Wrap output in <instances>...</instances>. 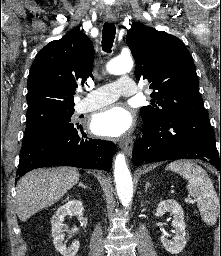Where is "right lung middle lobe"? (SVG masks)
I'll return each instance as SVG.
<instances>
[{
	"instance_id": "1",
	"label": "right lung middle lobe",
	"mask_w": 221,
	"mask_h": 256,
	"mask_svg": "<svg viewBox=\"0 0 221 256\" xmlns=\"http://www.w3.org/2000/svg\"><path fill=\"white\" fill-rule=\"evenodd\" d=\"M73 113V107H50L27 112L25 135L50 124L70 122Z\"/></svg>"
}]
</instances>
